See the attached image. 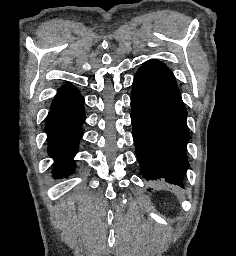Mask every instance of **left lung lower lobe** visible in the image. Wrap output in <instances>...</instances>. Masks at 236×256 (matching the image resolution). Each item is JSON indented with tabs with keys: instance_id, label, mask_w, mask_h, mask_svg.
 Here are the masks:
<instances>
[{
	"instance_id": "left-lung-lower-lobe-1",
	"label": "left lung lower lobe",
	"mask_w": 236,
	"mask_h": 256,
	"mask_svg": "<svg viewBox=\"0 0 236 256\" xmlns=\"http://www.w3.org/2000/svg\"><path fill=\"white\" fill-rule=\"evenodd\" d=\"M131 106L133 139L144 180H161L184 188L190 135L177 85L140 68L133 81Z\"/></svg>"
}]
</instances>
